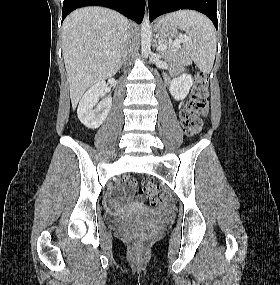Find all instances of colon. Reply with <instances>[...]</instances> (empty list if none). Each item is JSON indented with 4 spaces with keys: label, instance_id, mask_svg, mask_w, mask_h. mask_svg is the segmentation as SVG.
Here are the masks:
<instances>
[{
    "label": "colon",
    "instance_id": "obj_1",
    "mask_svg": "<svg viewBox=\"0 0 280 285\" xmlns=\"http://www.w3.org/2000/svg\"><path fill=\"white\" fill-rule=\"evenodd\" d=\"M209 98V79L203 72H198L195 77V84L192 95L180 113L182 127L189 136L196 135L202 128V114L208 104ZM126 184L134 189L139 195H146L153 206H161L166 203V196L160 192L150 181L142 183L135 178L126 177ZM141 238L133 239L135 245H140Z\"/></svg>",
    "mask_w": 280,
    "mask_h": 285
}]
</instances>
